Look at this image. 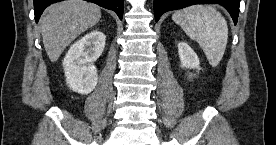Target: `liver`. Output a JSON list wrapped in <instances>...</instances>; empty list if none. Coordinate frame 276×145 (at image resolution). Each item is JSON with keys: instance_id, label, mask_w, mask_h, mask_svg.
<instances>
[{"instance_id": "1", "label": "liver", "mask_w": 276, "mask_h": 145, "mask_svg": "<svg viewBox=\"0 0 276 145\" xmlns=\"http://www.w3.org/2000/svg\"><path fill=\"white\" fill-rule=\"evenodd\" d=\"M100 18V7L88 1L65 0L50 5L40 19L43 44L50 61H57L66 47Z\"/></svg>"}]
</instances>
